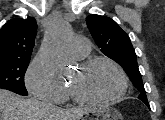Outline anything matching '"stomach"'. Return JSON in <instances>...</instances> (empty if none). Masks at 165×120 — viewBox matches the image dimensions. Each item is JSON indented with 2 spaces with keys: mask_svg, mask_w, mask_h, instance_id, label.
Listing matches in <instances>:
<instances>
[{
  "mask_svg": "<svg viewBox=\"0 0 165 120\" xmlns=\"http://www.w3.org/2000/svg\"><path fill=\"white\" fill-rule=\"evenodd\" d=\"M82 120H123L121 113L112 107L90 109Z\"/></svg>",
  "mask_w": 165,
  "mask_h": 120,
  "instance_id": "0dacf381",
  "label": "stomach"
}]
</instances>
